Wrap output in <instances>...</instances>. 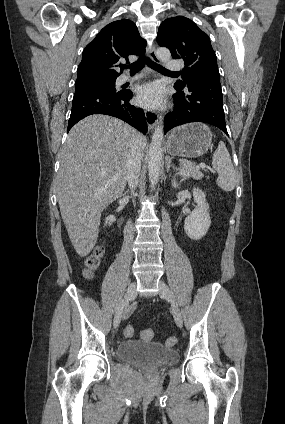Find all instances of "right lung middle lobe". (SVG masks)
Instances as JSON below:
<instances>
[{"label":"right lung middle lobe","mask_w":285,"mask_h":424,"mask_svg":"<svg viewBox=\"0 0 285 424\" xmlns=\"http://www.w3.org/2000/svg\"><path fill=\"white\" fill-rule=\"evenodd\" d=\"M90 89L117 92L116 89H115V80H113V81H94V82H86V83L75 84V92L81 91V90H90Z\"/></svg>","instance_id":"1"}]
</instances>
